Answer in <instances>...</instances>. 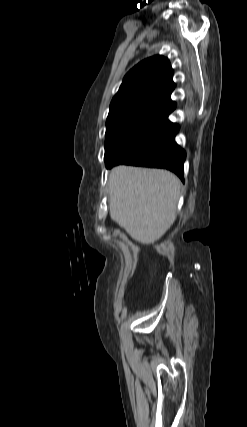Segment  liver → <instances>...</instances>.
<instances>
[{
    "label": "liver",
    "mask_w": 247,
    "mask_h": 427,
    "mask_svg": "<svg viewBox=\"0 0 247 427\" xmlns=\"http://www.w3.org/2000/svg\"><path fill=\"white\" fill-rule=\"evenodd\" d=\"M110 216L141 244L161 238L176 219L179 178L163 169L120 165L109 174Z\"/></svg>",
    "instance_id": "liver-1"
}]
</instances>
